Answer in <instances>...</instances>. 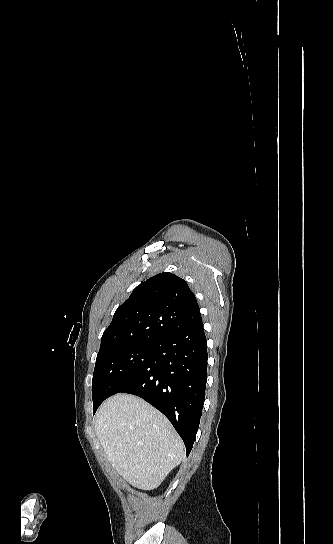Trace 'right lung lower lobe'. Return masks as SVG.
<instances>
[{
    "instance_id": "obj_1",
    "label": "right lung lower lobe",
    "mask_w": 333,
    "mask_h": 544,
    "mask_svg": "<svg viewBox=\"0 0 333 544\" xmlns=\"http://www.w3.org/2000/svg\"><path fill=\"white\" fill-rule=\"evenodd\" d=\"M207 346L202 321L155 342L148 362L117 393L137 395L172 423L191 452L205 399Z\"/></svg>"
}]
</instances>
